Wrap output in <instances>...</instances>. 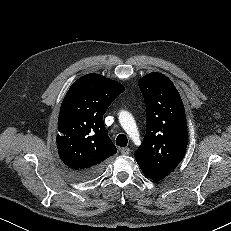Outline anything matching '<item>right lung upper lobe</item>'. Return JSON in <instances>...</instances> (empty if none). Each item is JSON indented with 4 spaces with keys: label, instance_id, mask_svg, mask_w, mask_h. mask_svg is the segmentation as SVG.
<instances>
[{
    "label": "right lung upper lobe",
    "instance_id": "1",
    "mask_svg": "<svg viewBox=\"0 0 231 231\" xmlns=\"http://www.w3.org/2000/svg\"><path fill=\"white\" fill-rule=\"evenodd\" d=\"M123 91L117 81L91 73L74 82L65 95L56 142L61 160L74 172L102 168L117 152L102 119Z\"/></svg>",
    "mask_w": 231,
    "mask_h": 231
}]
</instances>
